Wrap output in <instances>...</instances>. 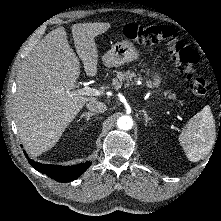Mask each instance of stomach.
Instances as JSON below:
<instances>
[{
	"mask_svg": "<svg viewBox=\"0 0 221 221\" xmlns=\"http://www.w3.org/2000/svg\"><path fill=\"white\" fill-rule=\"evenodd\" d=\"M139 57L138 50L134 45L127 40L117 42L112 48L102 56L103 64L106 67H118L125 63L132 62ZM153 81L150 82V87L158 88L161 84L159 74L152 76Z\"/></svg>",
	"mask_w": 221,
	"mask_h": 221,
	"instance_id": "stomach-1",
	"label": "stomach"
}]
</instances>
